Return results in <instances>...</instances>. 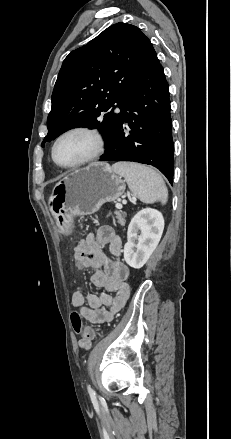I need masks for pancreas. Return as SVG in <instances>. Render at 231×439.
I'll use <instances>...</instances> for the list:
<instances>
[{"label": "pancreas", "instance_id": "cf45deb5", "mask_svg": "<svg viewBox=\"0 0 231 439\" xmlns=\"http://www.w3.org/2000/svg\"><path fill=\"white\" fill-rule=\"evenodd\" d=\"M115 214H116L117 222H118L120 225L125 226V223H126V214L123 213L122 211H116Z\"/></svg>", "mask_w": 231, "mask_h": 439}]
</instances>
